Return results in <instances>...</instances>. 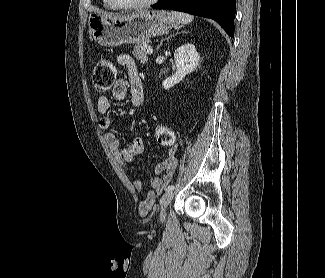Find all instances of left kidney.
I'll return each instance as SVG.
<instances>
[{
  "instance_id": "left-kidney-1",
  "label": "left kidney",
  "mask_w": 325,
  "mask_h": 278,
  "mask_svg": "<svg viewBox=\"0 0 325 278\" xmlns=\"http://www.w3.org/2000/svg\"><path fill=\"white\" fill-rule=\"evenodd\" d=\"M174 59L177 72L163 81L165 89L178 84L187 74L193 72L199 65L200 55L193 44H185L175 51Z\"/></svg>"
}]
</instances>
